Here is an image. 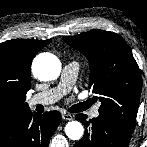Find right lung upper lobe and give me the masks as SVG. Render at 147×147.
Masks as SVG:
<instances>
[{
  "instance_id": "cb5924a9",
  "label": "right lung upper lobe",
  "mask_w": 147,
  "mask_h": 147,
  "mask_svg": "<svg viewBox=\"0 0 147 147\" xmlns=\"http://www.w3.org/2000/svg\"><path fill=\"white\" fill-rule=\"evenodd\" d=\"M51 40L14 39L0 44V126L29 111L32 59Z\"/></svg>"
}]
</instances>
